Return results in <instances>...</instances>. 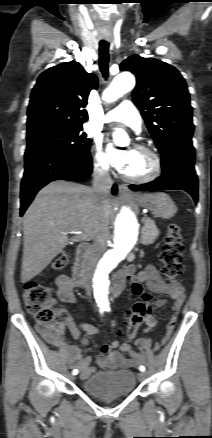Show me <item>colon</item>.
Segmentation results:
<instances>
[{
  "mask_svg": "<svg viewBox=\"0 0 212 438\" xmlns=\"http://www.w3.org/2000/svg\"><path fill=\"white\" fill-rule=\"evenodd\" d=\"M183 251L181 229L177 224L172 223L167 228L164 243L160 250L161 272L168 281L176 282L182 276L184 272ZM69 261L70 257L67 253H60L53 259L51 268L56 271L62 270L68 265ZM23 299L28 312L33 315L40 326H49L57 334L61 332L60 325L53 323L52 291L48 285L29 282L25 286ZM150 314V295L146 294L126 313V334L129 340L135 337L139 327L145 323Z\"/></svg>",
  "mask_w": 212,
  "mask_h": 438,
  "instance_id": "5ec220e1",
  "label": "colon"
}]
</instances>
